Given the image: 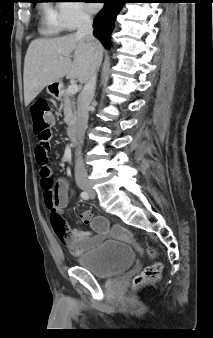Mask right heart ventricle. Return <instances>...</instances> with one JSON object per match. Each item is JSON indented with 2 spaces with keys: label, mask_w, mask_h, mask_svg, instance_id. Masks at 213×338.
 Returning a JSON list of instances; mask_svg holds the SVG:
<instances>
[{
  "label": "right heart ventricle",
  "mask_w": 213,
  "mask_h": 338,
  "mask_svg": "<svg viewBox=\"0 0 213 338\" xmlns=\"http://www.w3.org/2000/svg\"><path fill=\"white\" fill-rule=\"evenodd\" d=\"M46 25L50 34H56L64 30V28L55 20L54 11L51 9L47 10Z\"/></svg>",
  "instance_id": "1"
}]
</instances>
